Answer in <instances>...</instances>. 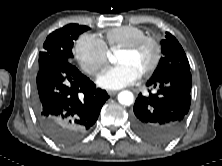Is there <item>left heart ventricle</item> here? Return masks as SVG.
Returning a JSON list of instances; mask_svg holds the SVG:
<instances>
[{"label": "left heart ventricle", "mask_w": 222, "mask_h": 166, "mask_svg": "<svg viewBox=\"0 0 222 166\" xmlns=\"http://www.w3.org/2000/svg\"><path fill=\"white\" fill-rule=\"evenodd\" d=\"M153 56V46L146 43L134 52L119 51L117 55V62L129 64L141 74L151 64Z\"/></svg>", "instance_id": "left-heart-ventricle-1"}]
</instances>
